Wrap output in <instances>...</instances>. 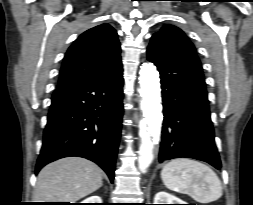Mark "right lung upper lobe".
I'll use <instances>...</instances> for the list:
<instances>
[{
    "instance_id": "obj_1",
    "label": "right lung upper lobe",
    "mask_w": 253,
    "mask_h": 205,
    "mask_svg": "<svg viewBox=\"0 0 253 205\" xmlns=\"http://www.w3.org/2000/svg\"><path fill=\"white\" fill-rule=\"evenodd\" d=\"M117 32L107 23L85 31L68 49L58 88L105 75L121 66Z\"/></svg>"
}]
</instances>
